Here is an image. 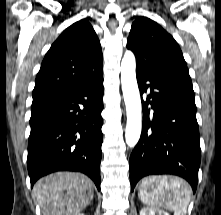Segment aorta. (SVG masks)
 Here are the masks:
<instances>
[{
	"label": "aorta",
	"instance_id": "1",
	"mask_svg": "<svg viewBox=\"0 0 221 215\" xmlns=\"http://www.w3.org/2000/svg\"><path fill=\"white\" fill-rule=\"evenodd\" d=\"M121 85L126 105L127 125L125 141L134 147L141 134V99L136 80V60L131 51H126L121 62Z\"/></svg>",
	"mask_w": 221,
	"mask_h": 215
}]
</instances>
